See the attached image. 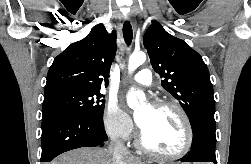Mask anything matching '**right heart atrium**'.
I'll use <instances>...</instances> for the list:
<instances>
[{
  "instance_id": "obj_1",
  "label": "right heart atrium",
  "mask_w": 251,
  "mask_h": 164,
  "mask_svg": "<svg viewBox=\"0 0 251 164\" xmlns=\"http://www.w3.org/2000/svg\"><path fill=\"white\" fill-rule=\"evenodd\" d=\"M103 125L107 134L118 140H128L134 132L130 115L115 102H110L103 114Z\"/></svg>"
}]
</instances>
